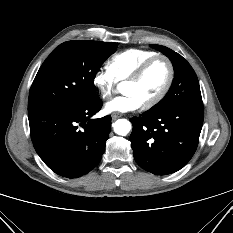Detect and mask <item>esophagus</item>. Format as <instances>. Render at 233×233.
Instances as JSON below:
<instances>
[{
    "mask_svg": "<svg viewBox=\"0 0 233 233\" xmlns=\"http://www.w3.org/2000/svg\"><path fill=\"white\" fill-rule=\"evenodd\" d=\"M121 116H122L121 113H112V114H111V117H112L113 120H116L117 118H119V117H121Z\"/></svg>",
    "mask_w": 233,
    "mask_h": 233,
    "instance_id": "obj_1",
    "label": "esophagus"
}]
</instances>
